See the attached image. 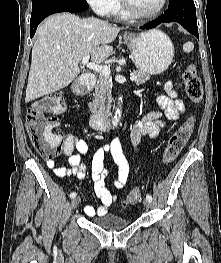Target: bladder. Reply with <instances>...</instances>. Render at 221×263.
I'll list each match as a JSON object with an SVG mask.
<instances>
[{"label":"bladder","mask_w":221,"mask_h":263,"mask_svg":"<svg viewBox=\"0 0 221 263\" xmlns=\"http://www.w3.org/2000/svg\"><path fill=\"white\" fill-rule=\"evenodd\" d=\"M92 223L104 230L108 231H116L129 226L130 222L118 214H105L94 216L92 219Z\"/></svg>","instance_id":"31cf9c89"}]
</instances>
